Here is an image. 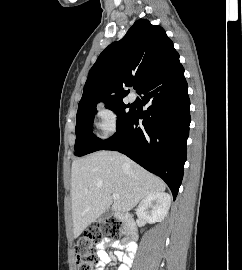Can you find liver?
Returning a JSON list of instances; mask_svg holds the SVG:
<instances>
[{
  "label": "liver",
  "instance_id": "obj_1",
  "mask_svg": "<svg viewBox=\"0 0 242 270\" xmlns=\"http://www.w3.org/2000/svg\"><path fill=\"white\" fill-rule=\"evenodd\" d=\"M165 183L114 151H100L72 163L71 198L73 234L77 238L111 205L128 212L147 195L163 192ZM118 194L114 200L112 194Z\"/></svg>",
  "mask_w": 242,
  "mask_h": 270
}]
</instances>
